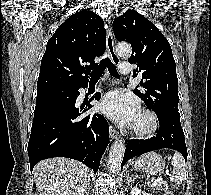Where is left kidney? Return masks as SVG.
Here are the masks:
<instances>
[{
    "label": "left kidney",
    "mask_w": 211,
    "mask_h": 195,
    "mask_svg": "<svg viewBox=\"0 0 211 195\" xmlns=\"http://www.w3.org/2000/svg\"><path fill=\"white\" fill-rule=\"evenodd\" d=\"M130 194L131 195H150V193H146V192L142 191L141 189H139L138 187L131 188Z\"/></svg>",
    "instance_id": "left-kidney-1"
}]
</instances>
